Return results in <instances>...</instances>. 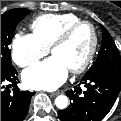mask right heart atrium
Masks as SVG:
<instances>
[{
  "label": "right heart atrium",
  "mask_w": 121,
  "mask_h": 121,
  "mask_svg": "<svg viewBox=\"0 0 121 121\" xmlns=\"http://www.w3.org/2000/svg\"><path fill=\"white\" fill-rule=\"evenodd\" d=\"M48 51L49 48L44 46L33 34L17 33L11 41L12 59L22 68L35 64Z\"/></svg>",
  "instance_id": "right-heart-atrium-1"
}]
</instances>
